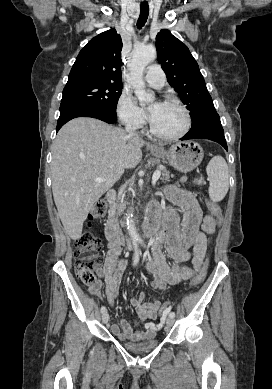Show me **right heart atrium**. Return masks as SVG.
I'll use <instances>...</instances> for the list:
<instances>
[{"mask_svg": "<svg viewBox=\"0 0 272 389\" xmlns=\"http://www.w3.org/2000/svg\"><path fill=\"white\" fill-rule=\"evenodd\" d=\"M117 114L120 121L133 130L141 129L146 123L144 111L137 106L128 92H122L117 102Z\"/></svg>", "mask_w": 272, "mask_h": 389, "instance_id": "1", "label": "right heart atrium"}]
</instances>
